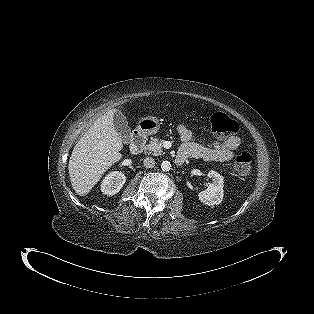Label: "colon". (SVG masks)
<instances>
[{"mask_svg":"<svg viewBox=\"0 0 314 314\" xmlns=\"http://www.w3.org/2000/svg\"><path fill=\"white\" fill-rule=\"evenodd\" d=\"M211 130L221 136L232 135L238 130V124L223 112H215L210 118ZM252 158L249 153L239 154L234 161V167L240 175H248L251 171Z\"/></svg>","mask_w":314,"mask_h":314,"instance_id":"5ec220e1","label":"colon"}]
</instances>
